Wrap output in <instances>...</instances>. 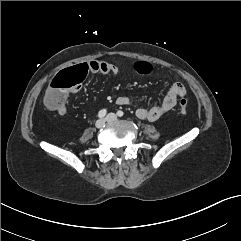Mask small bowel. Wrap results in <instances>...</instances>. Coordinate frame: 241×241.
Masks as SVG:
<instances>
[{
	"label": "small bowel",
	"instance_id": "c3829d8e",
	"mask_svg": "<svg viewBox=\"0 0 241 241\" xmlns=\"http://www.w3.org/2000/svg\"><path fill=\"white\" fill-rule=\"evenodd\" d=\"M87 63L90 66L91 72L93 73H100L102 75H112L116 76L119 73V68L109 62L105 61H89L84 62ZM81 85L76 86L73 90H71L72 93H77L80 91ZM186 94V88L185 86L180 83L176 82L174 83L171 88L169 89L168 93L164 97L163 101L159 105H155L151 108H145L140 107L136 111V115L138 118L148 121H156L159 118H161L163 115L168 113L170 110H172L176 103L177 99L179 97H182ZM68 98V93L64 94L63 102L61 104L49 107L51 110L55 111L61 116H65L68 112L66 107V100ZM115 103L119 106H126L131 105L132 100L127 96H118L115 99Z\"/></svg>",
	"mask_w": 241,
	"mask_h": 241
}]
</instances>
